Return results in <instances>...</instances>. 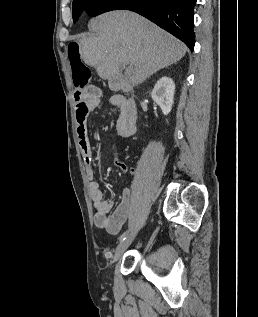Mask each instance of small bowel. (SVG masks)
Segmentation results:
<instances>
[{
	"label": "small bowel",
	"instance_id": "c3829d8e",
	"mask_svg": "<svg viewBox=\"0 0 258 317\" xmlns=\"http://www.w3.org/2000/svg\"><path fill=\"white\" fill-rule=\"evenodd\" d=\"M86 99L76 105L75 117L79 146L86 165L87 177L89 179V194L95 209L94 223L99 229L105 230L108 234L116 235L129 218L133 209V197L128 188L123 190L120 203L113 209V202L105 200L100 185L94 179L92 164L94 161L93 147L88 135V117L97 108L100 97V90L90 86L85 89ZM111 104L120 111L115 126V134L119 138L129 137L136 130V106L133 101L122 95H115L110 100ZM115 165L122 171L127 172L128 166L117 159Z\"/></svg>",
	"mask_w": 258,
	"mask_h": 317
}]
</instances>
